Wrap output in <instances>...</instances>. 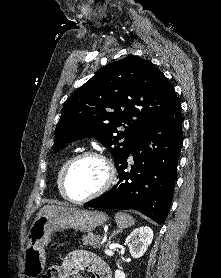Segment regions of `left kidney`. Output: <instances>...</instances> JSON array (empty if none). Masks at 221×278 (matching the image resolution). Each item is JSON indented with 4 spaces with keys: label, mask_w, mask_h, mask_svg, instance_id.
Segmentation results:
<instances>
[{
    "label": "left kidney",
    "mask_w": 221,
    "mask_h": 278,
    "mask_svg": "<svg viewBox=\"0 0 221 278\" xmlns=\"http://www.w3.org/2000/svg\"><path fill=\"white\" fill-rule=\"evenodd\" d=\"M153 231L150 227L143 226L136 228L126 239V244L130 254L134 258H139L144 255L147 248L152 243ZM126 275L121 270L115 271V278H125Z\"/></svg>",
    "instance_id": "5707ae66"
}]
</instances>
